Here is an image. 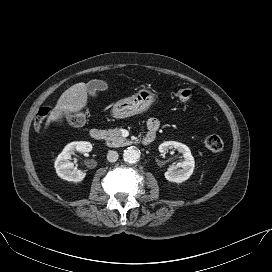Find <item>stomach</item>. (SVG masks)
Returning <instances> with one entry per match:
<instances>
[{
	"label": "stomach",
	"mask_w": 272,
	"mask_h": 272,
	"mask_svg": "<svg viewBox=\"0 0 272 272\" xmlns=\"http://www.w3.org/2000/svg\"><path fill=\"white\" fill-rule=\"evenodd\" d=\"M155 103H157L155 92L143 88L135 95L116 102L112 112L116 118L123 119L145 112Z\"/></svg>",
	"instance_id": "0dacf381"
}]
</instances>
